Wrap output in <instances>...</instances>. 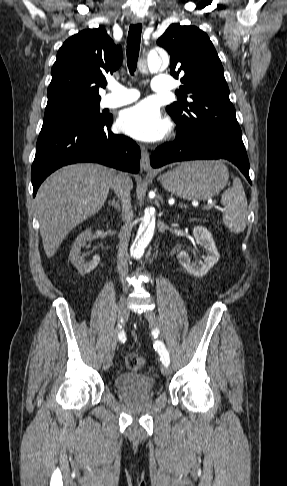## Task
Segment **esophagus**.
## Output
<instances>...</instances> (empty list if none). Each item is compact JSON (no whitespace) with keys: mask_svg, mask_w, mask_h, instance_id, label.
<instances>
[{"mask_svg":"<svg viewBox=\"0 0 287 486\" xmlns=\"http://www.w3.org/2000/svg\"><path fill=\"white\" fill-rule=\"evenodd\" d=\"M132 22L134 24H141L143 23V19L139 17H135L132 20ZM140 150H141V159H140L141 169L147 172L152 171V167L150 165V155L148 150L144 146H140Z\"/></svg>","mask_w":287,"mask_h":486,"instance_id":"1","label":"esophagus"}]
</instances>
